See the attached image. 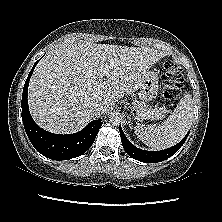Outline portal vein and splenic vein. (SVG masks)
I'll return each instance as SVG.
<instances>
[{
	"label": "portal vein and splenic vein",
	"instance_id": "18ae733b",
	"mask_svg": "<svg viewBox=\"0 0 222 222\" xmlns=\"http://www.w3.org/2000/svg\"><path fill=\"white\" fill-rule=\"evenodd\" d=\"M163 118V116H158V119H162Z\"/></svg>",
	"mask_w": 222,
	"mask_h": 222
}]
</instances>
